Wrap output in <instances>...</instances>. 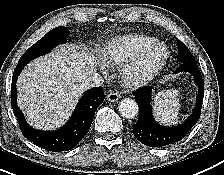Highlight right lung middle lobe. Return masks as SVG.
I'll list each match as a JSON object with an SVG mask.
<instances>
[{
	"instance_id": "obj_1",
	"label": "right lung middle lobe",
	"mask_w": 224,
	"mask_h": 175,
	"mask_svg": "<svg viewBox=\"0 0 224 175\" xmlns=\"http://www.w3.org/2000/svg\"><path fill=\"white\" fill-rule=\"evenodd\" d=\"M68 27H56L50 30L42 39L33 44L20 58L18 63L29 62L39 56H42L57 45L66 42L69 34Z\"/></svg>"
}]
</instances>
